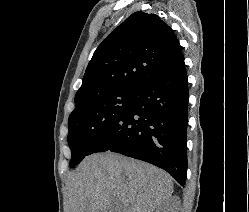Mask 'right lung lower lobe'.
<instances>
[{
  "label": "right lung lower lobe",
  "instance_id": "1",
  "mask_svg": "<svg viewBox=\"0 0 249 212\" xmlns=\"http://www.w3.org/2000/svg\"><path fill=\"white\" fill-rule=\"evenodd\" d=\"M187 121L188 81L183 60L143 85L89 153L111 151L146 161L184 185Z\"/></svg>",
  "mask_w": 249,
  "mask_h": 212
}]
</instances>
